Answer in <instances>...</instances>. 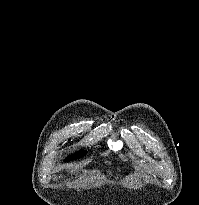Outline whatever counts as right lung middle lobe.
I'll return each instance as SVG.
<instances>
[{"label": "right lung middle lobe", "instance_id": "right-lung-middle-lobe-1", "mask_svg": "<svg viewBox=\"0 0 199 205\" xmlns=\"http://www.w3.org/2000/svg\"><path fill=\"white\" fill-rule=\"evenodd\" d=\"M86 155V151H79L75 154H72L71 156H68L65 161H71V160H75V159H78V158H81L83 156Z\"/></svg>", "mask_w": 199, "mask_h": 205}]
</instances>
